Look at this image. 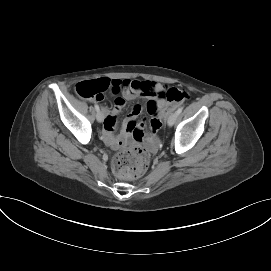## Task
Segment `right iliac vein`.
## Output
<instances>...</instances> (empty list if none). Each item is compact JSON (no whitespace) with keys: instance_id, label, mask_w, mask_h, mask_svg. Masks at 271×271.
<instances>
[{"instance_id":"1","label":"right iliac vein","mask_w":271,"mask_h":271,"mask_svg":"<svg viewBox=\"0 0 271 271\" xmlns=\"http://www.w3.org/2000/svg\"><path fill=\"white\" fill-rule=\"evenodd\" d=\"M96 119L98 122H103V120H104V111L103 110L97 111Z\"/></svg>"}]
</instances>
